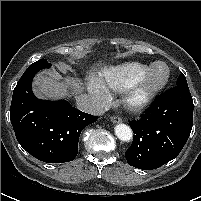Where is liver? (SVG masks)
<instances>
[{
	"mask_svg": "<svg viewBox=\"0 0 201 201\" xmlns=\"http://www.w3.org/2000/svg\"><path fill=\"white\" fill-rule=\"evenodd\" d=\"M34 92L39 98L59 99L69 94H81L84 90L79 79L63 78L57 71L39 73L33 82Z\"/></svg>",
	"mask_w": 201,
	"mask_h": 201,
	"instance_id": "obj_1",
	"label": "liver"
}]
</instances>
